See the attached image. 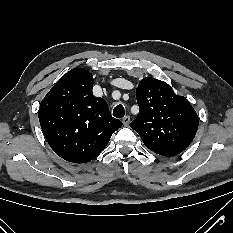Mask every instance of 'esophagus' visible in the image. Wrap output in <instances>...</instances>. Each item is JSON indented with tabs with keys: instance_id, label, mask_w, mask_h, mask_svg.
<instances>
[{
	"instance_id": "obj_1",
	"label": "esophagus",
	"mask_w": 233,
	"mask_h": 233,
	"mask_svg": "<svg viewBox=\"0 0 233 233\" xmlns=\"http://www.w3.org/2000/svg\"><path fill=\"white\" fill-rule=\"evenodd\" d=\"M124 126H128L130 123V116H125L122 120Z\"/></svg>"
}]
</instances>
